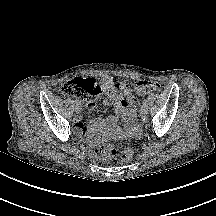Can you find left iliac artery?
Here are the masks:
<instances>
[{
	"label": "left iliac artery",
	"instance_id": "44dca946",
	"mask_svg": "<svg viewBox=\"0 0 216 216\" xmlns=\"http://www.w3.org/2000/svg\"><path fill=\"white\" fill-rule=\"evenodd\" d=\"M142 103H143V104H146V103H147V100H146V99H143V100H142Z\"/></svg>",
	"mask_w": 216,
	"mask_h": 216
}]
</instances>
